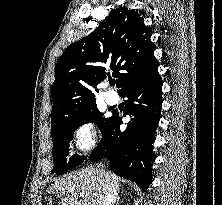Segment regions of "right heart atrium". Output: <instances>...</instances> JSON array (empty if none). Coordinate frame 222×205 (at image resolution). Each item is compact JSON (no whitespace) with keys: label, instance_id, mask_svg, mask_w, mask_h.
<instances>
[{"label":"right heart atrium","instance_id":"obj_1","mask_svg":"<svg viewBox=\"0 0 222 205\" xmlns=\"http://www.w3.org/2000/svg\"><path fill=\"white\" fill-rule=\"evenodd\" d=\"M98 134L90 122L82 123L75 131L74 144L79 149H89L97 141Z\"/></svg>","mask_w":222,"mask_h":205}]
</instances>
